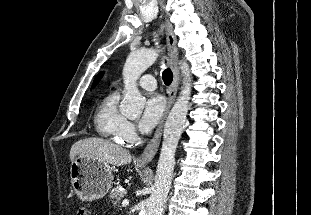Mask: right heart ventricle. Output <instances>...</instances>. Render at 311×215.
<instances>
[{"label":"right heart ventricle","instance_id":"1","mask_svg":"<svg viewBox=\"0 0 311 215\" xmlns=\"http://www.w3.org/2000/svg\"><path fill=\"white\" fill-rule=\"evenodd\" d=\"M119 94L107 95L97 108L94 123L98 134L116 143L122 142L120 131L126 118L118 110Z\"/></svg>","mask_w":311,"mask_h":215}]
</instances>
